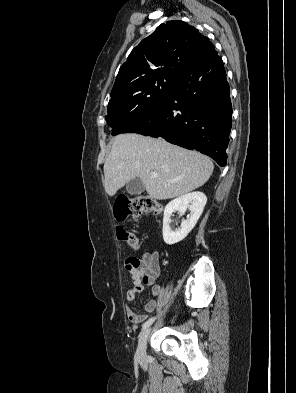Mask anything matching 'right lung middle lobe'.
<instances>
[{
	"mask_svg": "<svg viewBox=\"0 0 296 393\" xmlns=\"http://www.w3.org/2000/svg\"><path fill=\"white\" fill-rule=\"evenodd\" d=\"M177 80H159L148 85L135 97L108 104L105 120L112 128V135L120 134L133 123L154 108L175 87Z\"/></svg>",
	"mask_w": 296,
	"mask_h": 393,
	"instance_id": "obj_1",
	"label": "right lung middle lobe"
}]
</instances>
